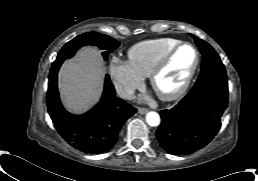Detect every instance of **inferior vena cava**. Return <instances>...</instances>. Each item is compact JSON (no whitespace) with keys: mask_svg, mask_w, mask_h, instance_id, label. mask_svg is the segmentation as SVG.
<instances>
[{"mask_svg":"<svg viewBox=\"0 0 258 181\" xmlns=\"http://www.w3.org/2000/svg\"><path fill=\"white\" fill-rule=\"evenodd\" d=\"M117 94L124 99H131L135 89L132 86L126 84H116L115 86Z\"/></svg>","mask_w":258,"mask_h":181,"instance_id":"obj_1","label":"inferior vena cava"}]
</instances>
